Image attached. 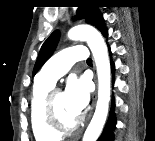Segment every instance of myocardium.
Returning <instances> with one entry per match:
<instances>
[{
    "label": "myocardium",
    "mask_w": 155,
    "mask_h": 141,
    "mask_svg": "<svg viewBox=\"0 0 155 141\" xmlns=\"http://www.w3.org/2000/svg\"><path fill=\"white\" fill-rule=\"evenodd\" d=\"M61 91L56 88H52L44 99V119L47 124V126L54 132L58 134H64V133H72L76 131L80 125L83 122V118L78 117V119L71 125H64L55 110L54 106V97L57 93H60Z\"/></svg>",
    "instance_id": "myocardium-1"
}]
</instances>
